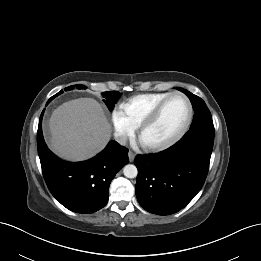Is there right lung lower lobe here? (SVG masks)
<instances>
[{"mask_svg":"<svg viewBox=\"0 0 261 261\" xmlns=\"http://www.w3.org/2000/svg\"><path fill=\"white\" fill-rule=\"evenodd\" d=\"M51 97L47 104L54 98ZM37 131L38 154L42 173L52 195L67 209L93 213L108 202L109 185L119 170L129 162L128 150L110 141L98 155L83 162L58 159L46 146L42 134V117Z\"/></svg>","mask_w":261,"mask_h":261,"instance_id":"right-lung-lower-lobe-1","label":"right lung lower lobe"}]
</instances>
